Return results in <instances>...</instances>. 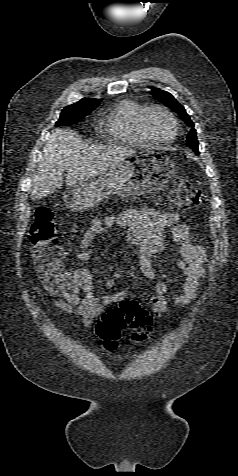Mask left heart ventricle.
I'll list each match as a JSON object with an SVG mask.
<instances>
[{
	"label": "left heart ventricle",
	"instance_id": "left-heart-ventricle-1",
	"mask_svg": "<svg viewBox=\"0 0 238 476\" xmlns=\"http://www.w3.org/2000/svg\"><path fill=\"white\" fill-rule=\"evenodd\" d=\"M149 128L153 135L160 140L169 139L174 131L170 118L160 111H155L150 115Z\"/></svg>",
	"mask_w": 238,
	"mask_h": 476
}]
</instances>
